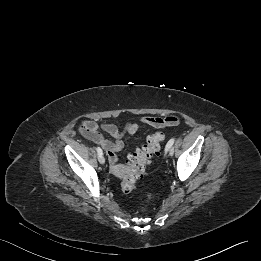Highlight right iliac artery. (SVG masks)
Here are the masks:
<instances>
[{
	"label": "right iliac artery",
	"mask_w": 261,
	"mask_h": 261,
	"mask_svg": "<svg viewBox=\"0 0 261 261\" xmlns=\"http://www.w3.org/2000/svg\"><path fill=\"white\" fill-rule=\"evenodd\" d=\"M98 156L103 155L102 149L100 147L96 148Z\"/></svg>",
	"instance_id": "right-iliac-artery-1"
}]
</instances>
